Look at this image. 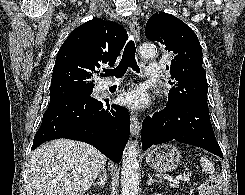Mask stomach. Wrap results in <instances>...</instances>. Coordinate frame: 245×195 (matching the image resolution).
I'll return each mask as SVG.
<instances>
[{
    "instance_id": "stomach-1",
    "label": "stomach",
    "mask_w": 245,
    "mask_h": 195,
    "mask_svg": "<svg viewBox=\"0 0 245 195\" xmlns=\"http://www.w3.org/2000/svg\"><path fill=\"white\" fill-rule=\"evenodd\" d=\"M180 152L172 144H162L151 150L146 162L159 172L175 170L180 163Z\"/></svg>"
}]
</instances>
